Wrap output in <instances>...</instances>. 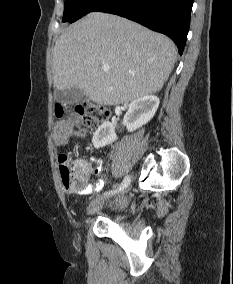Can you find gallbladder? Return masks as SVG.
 <instances>
[{"label": "gallbladder", "instance_id": "obj_1", "mask_svg": "<svg viewBox=\"0 0 233 284\" xmlns=\"http://www.w3.org/2000/svg\"><path fill=\"white\" fill-rule=\"evenodd\" d=\"M85 93L82 89L73 87L66 91L57 90L55 98L60 103L75 104L83 99Z\"/></svg>", "mask_w": 233, "mask_h": 284}]
</instances>
